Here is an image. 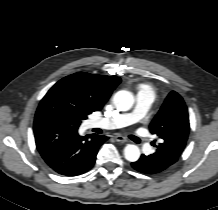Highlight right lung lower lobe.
<instances>
[{"label": "right lung lower lobe", "instance_id": "98d812e1", "mask_svg": "<svg viewBox=\"0 0 218 210\" xmlns=\"http://www.w3.org/2000/svg\"><path fill=\"white\" fill-rule=\"evenodd\" d=\"M36 147L44 161L57 173L76 176L95 163L99 147L107 137L80 136L77 130L57 121L34 122Z\"/></svg>", "mask_w": 218, "mask_h": 210}]
</instances>
